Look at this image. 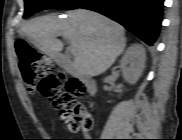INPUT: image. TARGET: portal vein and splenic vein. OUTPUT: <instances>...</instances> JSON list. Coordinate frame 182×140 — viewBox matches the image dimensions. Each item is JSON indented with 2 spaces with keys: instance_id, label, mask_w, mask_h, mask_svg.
Returning <instances> with one entry per match:
<instances>
[{
  "instance_id": "portal-vein-and-splenic-vein-1",
  "label": "portal vein and splenic vein",
  "mask_w": 182,
  "mask_h": 140,
  "mask_svg": "<svg viewBox=\"0 0 182 140\" xmlns=\"http://www.w3.org/2000/svg\"><path fill=\"white\" fill-rule=\"evenodd\" d=\"M69 50H70V52H71V54H72L73 56H77L78 50H77L76 47L70 46V47H69Z\"/></svg>"
}]
</instances>
